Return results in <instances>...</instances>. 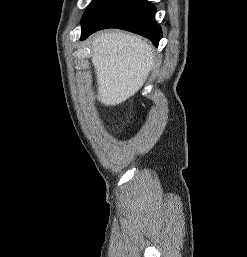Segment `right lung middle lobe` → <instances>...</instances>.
Returning a JSON list of instances; mask_svg holds the SVG:
<instances>
[{"instance_id":"right-lung-middle-lobe-1","label":"right lung middle lobe","mask_w":247,"mask_h":257,"mask_svg":"<svg viewBox=\"0 0 247 257\" xmlns=\"http://www.w3.org/2000/svg\"><path fill=\"white\" fill-rule=\"evenodd\" d=\"M95 1H96V0H92V2L89 4L87 10H86L85 13H84V16L87 14V12L89 11L90 7L93 5V3H94ZM84 16H83V17H84Z\"/></svg>"}]
</instances>
